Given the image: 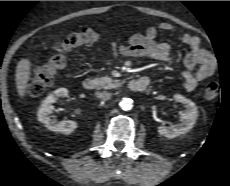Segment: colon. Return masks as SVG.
<instances>
[{"label": "colon", "mask_w": 230, "mask_h": 186, "mask_svg": "<svg viewBox=\"0 0 230 186\" xmlns=\"http://www.w3.org/2000/svg\"><path fill=\"white\" fill-rule=\"evenodd\" d=\"M100 35L93 29H83L71 34L62 44V51L53 53L48 61L42 65L34 67L30 73L28 82V92L33 97L43 94L45 89L51 85L55 73L66 64L64 51L75 47L88 46L96 43ZM220 92V85L213 80L206 84L204 95L207 100H214Z\"/></svg>", "instance_id": "colon-1"}]
</instances>
